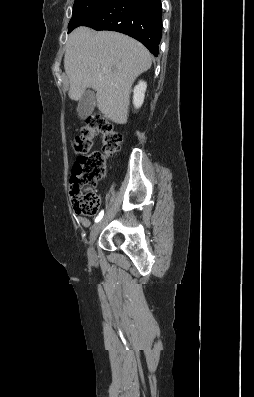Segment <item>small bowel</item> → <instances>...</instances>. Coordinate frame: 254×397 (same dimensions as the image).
Masks as SVG:
<instances>
[{
    "label": "small bowel",
    "instance_id": "c3829d8e",
    "mask_svg": "<svg viewBox=\"0 0 254 397\" xmlns=\"http://www.w3.org/2000/svg\"><path fill=\"white\" fill-rule=\"evenodd\" d=\"M76 220H77L79 223H81L83 226H85V227H88V226H90V224H91V222H90L87 218H84V217L78 216V217L76 218Z\"/></svg>",
    "mask_w": 254,
    "mask_h": 397
}]
</instances>
